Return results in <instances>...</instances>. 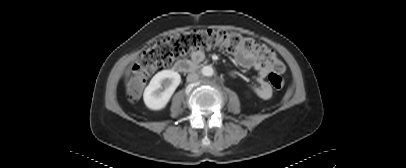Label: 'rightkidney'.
I'll list each match as a JSON object with an SVG mask.
<instances>
[{
  "label": "right kidney",
  "mask_w": 406,
  "mask_h": 168,
  "mask_svg": "<svg viewBox=\"0 0 406 168\" xmlns=\"http://www.w3.org/2000/svg\"><path fill=\"white\" fill-rule=\"evenodd\" d=\"M181 82L178 72L163 70L158 72L146 87L143 99L145 105L151 110H161L169 102L174 91ZM163 87L165 90L162 91Z\"/></svg>",
  "instance_id": "obj_1"
}]
</instances>
